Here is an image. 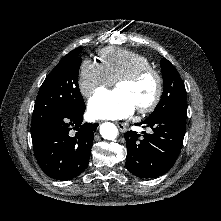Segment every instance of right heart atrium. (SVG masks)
Wrapping results in <instances>:
<instances>
[{"label": "right heart atrium", "instance_id": "d8ad5b80", "mask_svg": "<svg viewBox=\"0 0 221 221\" xmlns=\"http://www.w3.org/2000/svg\"><path fill=\"white\" fill-rule=\"evenodd\" d=\"M77 82L79 91L85 97H89L96 91L114 84V80L102 65L92 60L83 61L79 69Z\"/></svg>", "mask_w": 221, "mask_h": 221}]
</instances>
